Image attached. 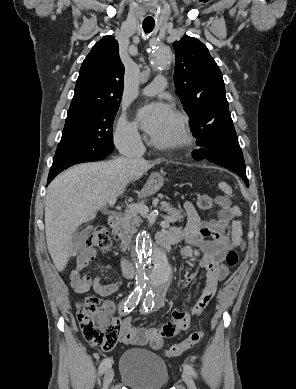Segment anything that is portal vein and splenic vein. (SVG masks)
I'll return each mask as SVG.
<instances>
[{
	"instance_id": "obj_1",
	"label": "portal vein and splenic vein",
	"mask_w": 296,
	"mask_h": 389,
	"mask_svg": "<svg viewBox=\"0 0 296 389\" xmlns=\"http://www.w3.org/2000/svg\"><path fill=\"white\" fill-rule=\"evenodd\" d=\"M117 197H114L109 200V205L114 206L116 204ZM130 209L135 210L141 214H147L149 212V208L146 205L143 204H132L129 206ZM162 227H169V221L166 219L161 222Z\"/></svg>"
}]
</instances>
